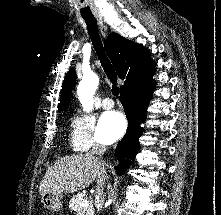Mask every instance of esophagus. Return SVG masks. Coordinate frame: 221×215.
<instances>
[{
	"mask_svg": "<svg viewBox=\"0 0 221 215\" xmlns=\"http://www.w3.org/2000/svg\"><path fill=\"white\" fill-rule=\"evenodd\" d=\"M99 29L102 37L105 39L108 35L107 27L104 25L102 19H98Z\"/></svg>",
	"mask_w": 221,
	"mask_h": 215,
	"instance_id": "1",
	"label": "esophagus"
}]
</instances>
